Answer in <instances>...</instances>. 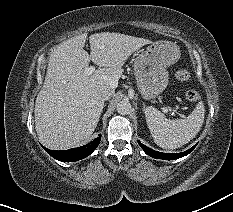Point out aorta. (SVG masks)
<instances>
[{
	"label": "aorta",
	"instance_id": "obj_1",
	"mask_svg": "<svg viewBox=\"0 0 233 212\" xmlns=\"http://www.w3.org/2000/svg\"><path fill=\"white\" fill-rule=\"evenodd\" d=\"M131 103L128 100H122L117 104V112L121 115H126L131 111Z\"/></svg>",
	"mask_w": 233,
	"mask_h": 212
}]
</instances>
